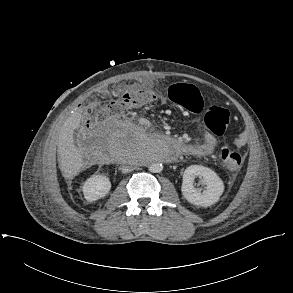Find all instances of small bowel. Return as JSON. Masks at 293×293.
<instances>
[{
	"label": "small bowel",
	"mask_w": 293,
	"mask_h": 293,
	"mask_svg": "<svg viewBox=\"0 0 293 293\" xmlns=\"http://www.w3.org/2000/svg\"><path fill=\"white\" fill-rule=\"evenodd\" d=\"M142 124L147 126L148 122L143 121ZM245 142V136L243 134L234 139V144L239 147L245 145ZM216 145V138L213 135L206 133L202 140L188 144V150L186 154L193 156H208L214 151Z\"/></svg>",
	"instance_id": "small-bowel-1"
}]
</instances>
